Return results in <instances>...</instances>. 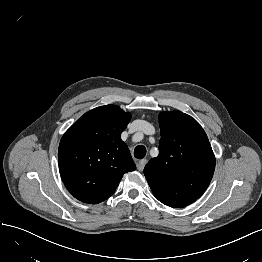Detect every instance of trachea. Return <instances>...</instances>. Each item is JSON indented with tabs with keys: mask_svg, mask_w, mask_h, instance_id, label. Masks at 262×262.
<instances>
[{
	"mask_svg": "<svg viewBox=\"0 0 262 262\" xmlns=\"http://www.w3.org/2000/svg\"><path fill=\"white\" fill-rule=\"evenodd\" d=\"M146 155V148L143 145H138L134 150V156L137 159H143Z\"/></svg>",
	"mask_w": 262,
	"mask_h": 262,
	"instance_id": "obj_1",
	"label": "trachea"
}]
</instances>
